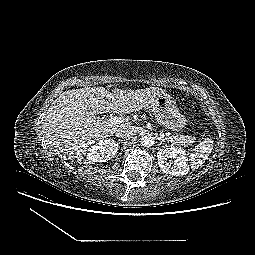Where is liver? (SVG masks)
I'll return each mask as SVG.
<instances>
[{"label": "liver", "mask_w": 255, "mask_h": 255, "mask_svg": "<svg viewBox=\"0 0 255 255\" xmlns=\"http://www.w3.org/2000/svg\"><path fill=\"white\" fill-rule=\"evenodd\" d=\"M164 91L150 87L138 90L85 87L68 90L52 102L43 122L47 144L63 157L82 159L87 147L113 135L129 123L112 124L97 114L132 113L148 107Z\"/></svg>", "instance_id": "6515ba94"}]
</instances>
